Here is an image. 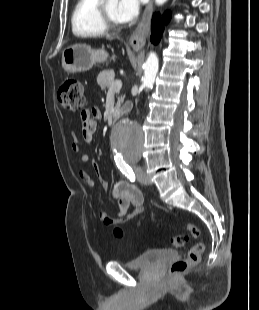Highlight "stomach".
<instances>
[{
  "label": "stomach",
  "mask_w": 259,
  "mask_h": 310,
  "mask_svg": "<svg viewBox=\"0 0 259 310\" xmlns=\"http://www.w3.org/2000/svg\"><path fill=\"white\" fill-rule=\"evenodd\" d=\"M136 51L139 48H134ZM108 53L104 49H92L86 44H74L62 52V67L68 73L85 72L96 63L107 60Z\"/></svg>",
  "instance_id": "0dacf381"
}]
</instances>
